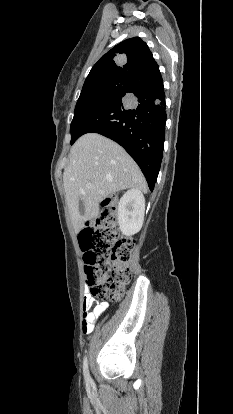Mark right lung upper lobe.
<instances>
[{"label": "right lung upper lobe", "mask_w": 233, "mask_h": 414, "mask_svg": "<svg viewBox=\"0 0 233 414\" xmlns=\"http://www.w3.org/2000/svg\"><path fill=\"white\" fill-rule=\"evenodd\" d=\"M159 72L148 46L139 37L130 38L113 47L93 66L85 83L107 76L135 81Z\"/></svg>", "instance_id": "obj_1"}]
</instances>
